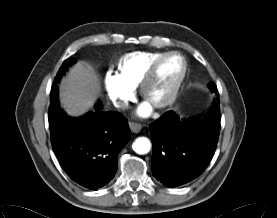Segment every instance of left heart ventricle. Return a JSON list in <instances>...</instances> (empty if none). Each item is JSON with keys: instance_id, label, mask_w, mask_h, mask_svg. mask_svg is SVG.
Instances as JSON below:
<instances>
[{"instance_id": "obj_1", "label": "left heart ventricle", "mask_w": 277, "mask_h": 218, "mask_svg": "<svg viewBox=\"0 0 277 218\" xmlns=\"http://www.w3.org/2000/svg\"><path fill=\"white\" fill-rule=\"evenodd\" d=\"M181 70L182 62L179 57L170 56L163 60L148 88V101L154 103L163 99L179 77Z\"/></svg>"}]
</instances>
